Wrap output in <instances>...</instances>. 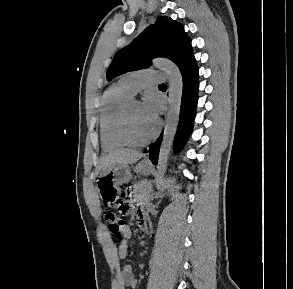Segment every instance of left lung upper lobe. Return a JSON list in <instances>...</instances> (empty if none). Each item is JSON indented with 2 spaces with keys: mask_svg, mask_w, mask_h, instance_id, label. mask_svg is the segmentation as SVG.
<instances>
[{
  "mask_svg": "<svg viewBox=\"0 0 293 289\" xmlns=\"http://www.w3.org/2000/svg\"><path fill=\"white\" fill-rule=\"evenodd\" d=\"M155 57L173 61L179 69L193 57L191 39L181 23L166 16H159L129 45L113 58L107 70V79L128 71L147 68Z\"/></svg>",
  "mask_w": 293,
  "mask_h": 289,
  "instance_id": "1",
  "label": "left lung upper lobe"
}]
</instances>
